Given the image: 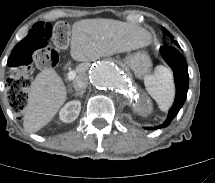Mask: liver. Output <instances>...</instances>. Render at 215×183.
Masks as SVG:
<instances>
[{"instance_id": "1", "label": "liver", "mask_w": 215, "mask_h": 183, "mask_svg": "<svg viewBox=\"0 0 215 183\" xmlns=\"http://www.w3.org/2000/svg\"><path fill=\"white\" fill-rule=\"evenodd\" d=\"M151 34L142 27L113 19H85L72 26L71 55L84 62L77 67L84 75L89 62L116 53L149 46ZM67 99L65 85L53 69L41 71L31 83L23 127L35 133L47 125Z\"/></svg>"}]
</instances>
